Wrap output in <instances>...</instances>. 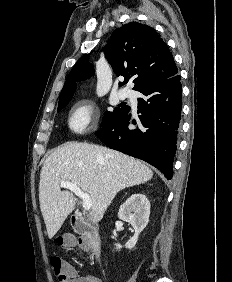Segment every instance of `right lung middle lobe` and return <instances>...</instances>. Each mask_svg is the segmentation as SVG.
<instances>
[{
  "label": "right lung middle lobe",
  "mask_w": 232,
  "mask_h": 282,
  "mask_svg": "<svg viewBox=\"0 0 232 282\" xmlns=\"http://www.w3.org/2000/svg\"><path fill=\"white\" fill-rule=\"evenodd\" d=\"M72 96L73 95H71V96H69L67 98L59 100L58 109L57 110L60 111L62 108H64L68 104V102L70 101ZM128 108H129L128 106L119 105V107L114 108V111H112V112H110V111L105 112L101 126H104L106 123H108L112 119L117 118L122 113H124Z\"/></svg>",
  "instance_id": "dd1d6c3e"
}]
</instances>
